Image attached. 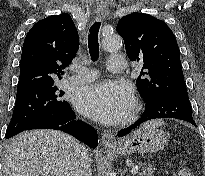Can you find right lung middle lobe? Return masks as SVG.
Here are the masks:
<instances>
[{
	"label": "right lung middle lobe",
	"instance_id": "obj_1",
	"mask_svg": "<svg viewBox=\"0 0 205 176\" xmlns=\"http://www.w3.org/2000/svg\"><path fill=\"white\" fill-rule=\"evenodd\" d=\"M56 86L34 89L17 95L12 119L6 130L10 138L35 123L69 106Z\"/></svg>",
	"mask_w": 205,
	"mask_h": 176
}]
</instances>
